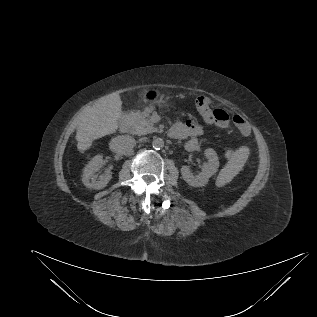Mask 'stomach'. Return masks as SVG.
<instances>
[{"mask_svg": "<svg viewBox=\"0 0 317 317\" xmlns=\"http://www.w3.org/2000/svg\"><path fill=\"white\" fill-rule=\"evenodd\" d=\"M159 96L158 91L156 90H146L142 94V100L145 104H148L149 106H152L154 103L158 102L156 101V97Z\"/></svg>", "mask_w": 317, "mask_h": 317, "instance_id": "stomach-1", "label": "stomach"}]
</instances>
